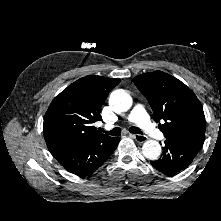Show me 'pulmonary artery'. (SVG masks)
<instances>
[{
    "instance_id": "obj_1",
    "label": "pulmonary artery",
    "mask_w": 221,
    "mask_h": 221,
    "mask_svg": "<svg viewBox=\"0 0 221 221\" xmlns=\"http://www.w3.org/2000/svg\"><path fill=\"white\" fill-rule=\"evenodd\" d=\"M129 122L135 123L140 127L146 134H148L153 139L163 138V133L160 131L150 120L148 114L146 113L142 105H136L129 118Z\"/></svg>"
}]
</instances>
